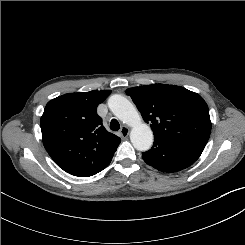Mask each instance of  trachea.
<instances>
[{"instance_id":"3493384b","label":"trachea","mask_w":245,"mask_h":245,"mask_svg":"<svg viewBox=\"0 0 245 245\" xmlns=\"http://www.w3.org/2000/svg\"><path fill=\"white\" fill-rule=\"evenodd\" d=\"M110 129L113 131H117L120 129V124L116 119H112L110 122Z\"/></svg>"}]
</instances>
